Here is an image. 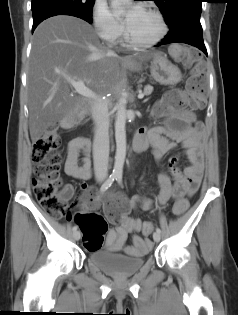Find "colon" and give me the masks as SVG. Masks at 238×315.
Here are the masks:
<instances>
[{
  "instance_id": "1",
  "label": "colon",
  "mask_w": 238,
  "mask_h": 315,
  "mask_svg": "<svg viewBox=\"0 0 238 315\" xmlns=\"http://www.w3.org/2000/svg\"><path fill=\"white\" fill-rule=\"evenodd\" d=\"M169 52L176 61L193 65V74L186 90L173 89L165 94L154 109L156 116L172 109L188 108L196 110L205 105L206 73L200 61V53L181 45L170 46ZM59 146L60 134L55 125L48 127L35 141L32 160L36 177L32 180V187L35 198L45 211L54 215H69L70 206L66 200L58 195L62 184ZM86 195L88 202L92 203L93 193L86 190ZM188 206L187 200H178L173 205L172 213L176 216L182 215L188 209ZM106 210L111 220L120 224L128 217L129 206L122 198H110L106 202ZM73 219L83 232L85 248L88 250L99 249L107 232L105 218L96 212L84 211L75 214ZM152 232L153 224L145 222L142 233L149 236Z\"/></svg>"
}]
</instances>
